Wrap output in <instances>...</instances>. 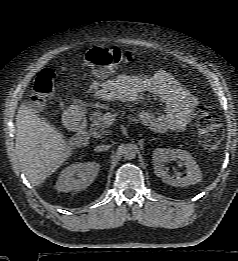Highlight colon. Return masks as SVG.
<instances>
[{
	"label": "colon",
	"mask_w": 238,
	"mask_h": 261,
	"mask_svg": "<svg viewBox=\"0 0 238 261\" xmlns=\"http://www.w3.org/2000/svg\"><path fill=\"white\" fill-rule=\"evenodd\" d=\"M132 60L129 53L117 47H93L83 56L84 63L92 68L96 75L107 76L119 66ZM55 72L51 68L42 69L33 82L32 102L38 107L42 101L54 92ZM197 129L201 142L208 148H216L222 138L223 128L220 117L206 108L197 116Z\"/></svg>",
	"instance_id": "obj_1"
}]
</instances>
